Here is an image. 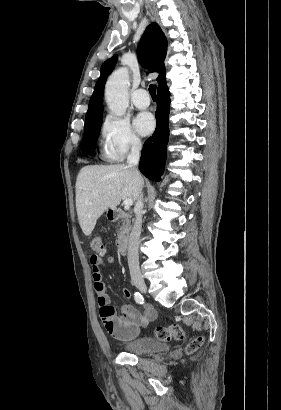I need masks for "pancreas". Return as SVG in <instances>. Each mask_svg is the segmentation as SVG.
Masks as SVG:
<instances>
[{
    "label": "pancreas",
    "mask_w": 281,
    "mask_h": 410,
    "mask_svg": "<svg viewBox=\"0 0 281 410\" xmlns=\"http://www.w3.org/2000/svg\"><path fill=\"white\" fill-rule=\"evenodd\" d=\"M119 222H118V230H117V243L121 244V242L127 238L128 233L131 229V216L124 212H120L119 214Z\"/></svg>",
    "instance_id": "pancreas-1"
}]
</instances>
